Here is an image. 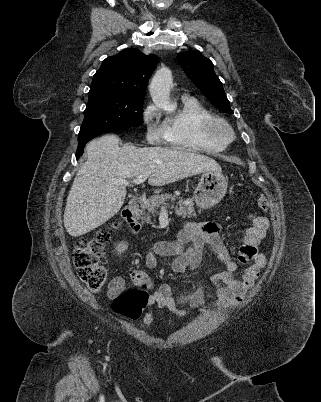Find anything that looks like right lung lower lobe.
I'll return each instance as SVG.
<instances>
[{
    "label": "right lung lower lobe",
    "mask_w": 321,
    "mask_h": 402,
    "mask_svg": "<svg viewBox=\"0 0 321 402\" xmlns=\"http://www.w3.org/2000/svg\"><path fill=\"white\" fill-rule=\"evenodd\" d=\"M114 131H118V130H110V131L100 132V133L93 134V135L79 136L76 158L78 159L83 154L84 147L89 140H91L92 138H94L98 135H101L102 133H108V132H114Z\"/></svg>",
    "instance_id": "98d812e1"
}]
</instances>
